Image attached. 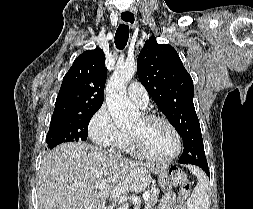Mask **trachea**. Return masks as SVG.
I'll use <instances>...</instances> for the list:
<instances>
[{
    "label": "trachea",
    "instance_id": "obj_1",
    "mask_svg": "<svg viewBox=\"0 0 253 209\" xmlns=\"http://www.w3.org/2000/svg\"><path fill=\"white\" fill-rule=\"evenodd\" d=\"M129 38V26L120 24L115 33V45L117 49H124Z\"/></svg>",
    "mask_w": 253,
    "mask_h": 209
}]
</instances>
